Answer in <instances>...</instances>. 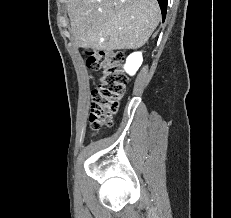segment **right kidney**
Masks as SVG:
<instances>
[{"label":"right kidney","instance_id":"1","mask_svg":"<svg viewBox=\"0 0 231 218\" xmlns=\"http://www.w3.org/2000/svg\"><path fill=\"white\" fill-rule=\"evenodd\" d=\"M142 62L143 58L141 52L132 53L126 60V64L124 66L125 71L130 75H134L141 66Z\"/></svg>","mask_w":231,"mask_h":218}]
</instances>
